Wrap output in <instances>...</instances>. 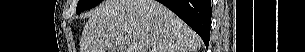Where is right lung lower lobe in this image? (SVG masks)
<instances>
[{"label":"right lung lower lobe","mask_w":305,"mask_h":52,"mask_svg":"<svg viewBox=\"0 0 305 52\" xmlns=\"http://www.w3.org/2000/svg\"><path fill=\"white\" fill-rule=\"evenodd\" d=\"M185 21L208 47L211 25V0H157Z\"/></svg>","instance_id":"obj_1"}]
</instances>
